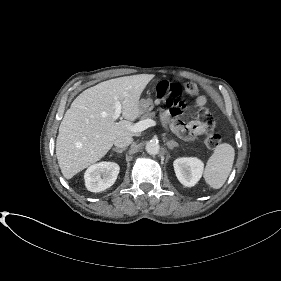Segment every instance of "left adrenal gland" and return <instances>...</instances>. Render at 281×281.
I'll use <instances>...</instances> for the list:
<instances>
[{"label":"left adrenal gland","instance_id":"left-adrenal-gland-1","mask_svg":"<svg viewBox=\"0 0 281 281\" xmlns=\"http://www.w3.org/2000/svg\"><path fill=\"white\" fill-rule=\"evenodd\" d=\"M166 145L169 149H174L175 147H179L178 143L175 141H166Z\"/></svg>","mask_w":281,"mask_h":281}]
</instances>
